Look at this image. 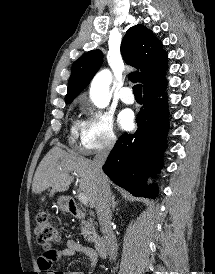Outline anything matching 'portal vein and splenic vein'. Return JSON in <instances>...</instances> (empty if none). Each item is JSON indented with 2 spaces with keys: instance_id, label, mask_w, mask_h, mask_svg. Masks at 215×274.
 Returning <instances> with one entry per match:
<instances>
[{
  "instance_id": "portal-vein-and-splenic-vein-1",
  "label": "portal vein and splenic vein",
  "mask_w": 215,
  "mask_h": 274,
  "mask_svg": "<svg viewBox=\"0 0 215 274\" xmlns=\"http://www.w3.org/2000/svg\"><path fill=\"white\" fill-rule=\"evenodd\" d=\"M78 200H79L81 203H83L84 205H87V204H88V198H87L86 194L83 193V192H80V193L78 194Z\"/></svg>"
}]
</instances>
